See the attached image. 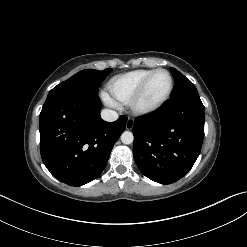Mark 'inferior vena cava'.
<instances>
[{
  "label": "inferior vena cava",
  "instance_id": "602c4592",
  "mask_svg": "<svg viewBox=\"0 0 247 247\" xmlns=\"http://www.w3.org/2000/svg\"><path fill=\"white\" fill-rule=\"evenodd\" d=\"M101 117L104 121L107 122H113L118 119V114L117 112L110 110V109H103L101 111Z\"/></svg>",
  "mask_w": 247,
  "mask_h": 247
}]
</instances>
